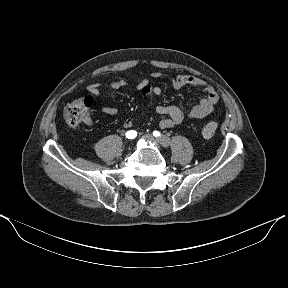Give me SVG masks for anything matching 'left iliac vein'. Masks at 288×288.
<instances>
[{"instance_id":"4c4485c4","label":"left iliac vein","mask_w":288,"mask_h":288,"mask_svg":"<svg viewBox=\"0 0 288 288\" xmlns=\"http://www.w3.org/2000/svg\"><path fill=\"white\" fill-rule=\"evenodd\" d=\"M143 138L147 141H151V142H157L159 144H161L164 147H167L169 145V141L165 138H155L153 137L151 134H146L143 136Z\"/></svg>"}]
</instances>
